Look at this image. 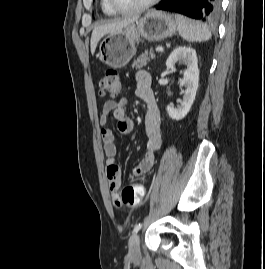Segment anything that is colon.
Masks as SVG:
<instances>
[{
  "label": "colon",
  "instance_id": "1",
  "mask_svg": "<svg viewBox=\"0 0 265 269\" xmlns=\"http://www.w3.org/2000/svg\"><path fill=\"white\" fill-rule=\"evenodd\" d=\"M99 93L102 97L115 98L119 93V74L116 70H108L99 81ZM145 194L141 184L125 186L118 194L120 206L134 207L138 205Z\"/></svg>",
  "mask_w": 265,
  "mask_h": 269
}]
</instances>
